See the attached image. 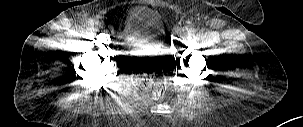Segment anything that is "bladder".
<instances>
[{"label":"bladder","instance_id":"obj_1","mask_svg":"<svg viewBox=\"0 0 303 127\" xmlns=\"http://www.w3.org/2000/svg\"><path fill=\"white\" fill-rule=\"evenodd\" d=\"M164 25L158 12L146 6H133L127 10L120 26L124 40L161 42Z\"/></svg>","mask_w":303,"mask_h":127}]
</instances>
